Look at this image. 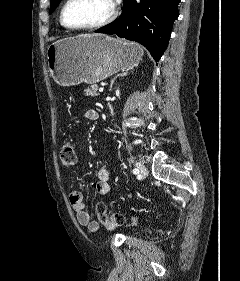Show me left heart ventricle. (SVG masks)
Segmentation results:
<instances>
[{
    "label": "left heart ventricle",
    "mask_w": 240,
    "mask_h": 281,
    "mask_svg": "<svg viewBox=\"0 0 240 281\" xmlns=\"http://www.w3.org/2000/svg\"><path fill=\"white\" fill-rule=\"evenodd\" d=\"M111 8V0H71L65 10V20L73 26L96 23L107 17Z\"/></svg>",
    "instance_id": "b2bd125f"
}]
</instances>
